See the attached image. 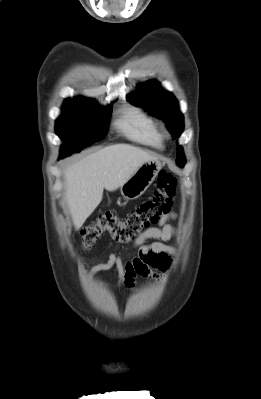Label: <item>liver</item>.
I'll return each instance as SVG.
<instances>
[{
    "instance_id": "liver-1",
    "label": "liver",
    "mask_w": 261,
    "mask_h": 399,
    "mask_svg": "<svg viewBox=\"0 0 261 399\" xmlns=\"http://www.w3.org/2000/svg\"><path fill=\"white\" fill-rule=\"evenodd\" d=\"M157 157L128 144H114L87 155L64 172L66 201L76 230L102 200L104 188L121 187L145 162Z\"/></svg>"
}]
</instances>
